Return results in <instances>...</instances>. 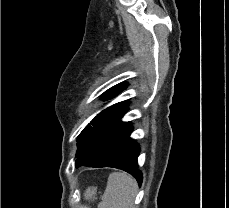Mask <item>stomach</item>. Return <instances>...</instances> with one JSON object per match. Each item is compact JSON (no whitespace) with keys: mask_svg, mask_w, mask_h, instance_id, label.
Here are the masks:
<instances>
[{"mask_svg":"<svg viewBox=\"0 0 229 208\" xmlns=\"http://www.w3.org/2000/svg\"><path fill=\"white\" fill-rule=\"evenodd\" d=\"M96 194H97V188H93V186H91V188H87V190H85L84 200H89V202H92Z\"/></svg>","mask_w":229,"mask_h":208,"instance_id":"obj_1","label":"stomach"}]
</instances>
